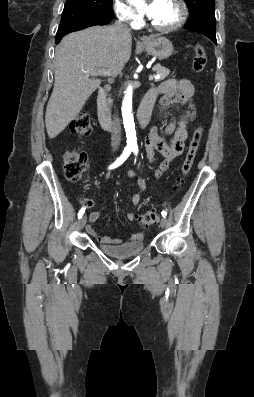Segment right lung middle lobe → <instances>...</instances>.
<instances>
[{"mask_svg": "<svg viewBox=\"0 0 254 397\" xmlns=\"http://www.w3.org/2000/svg\"><path fill=\"white\" fill-rule=\"evenodd\" d=\"M113 0H67L65 6H73L93 14L113 13Z\"/></svg>", "mask_w": 254, "mask_h": 397, "instance_id": "right-lung-middle-lobe-1", "label": "right lung middle lobe"}]
</instances>
